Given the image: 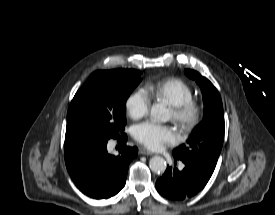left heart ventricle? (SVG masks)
Wrapping results in <instances>:
<instances>
[{
	"label": "left heart ventricle",
	"instance_id": "obj_1",
	"mask_svg": "<svg viewBox=\"0 0 275 215\" xmlns=\"http://www.w3.org/2000/svg\"><path fill=\"white\" fill-rule=\"evenodd\" d=\"M170 115H171V118H173V112L172 111L170 112Z\"/></svg>",
	"mask_w": 275,
	"mask_h": 215
}]
</instances>
